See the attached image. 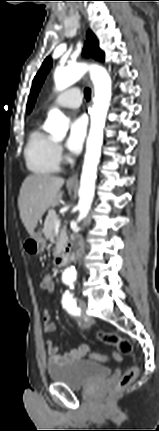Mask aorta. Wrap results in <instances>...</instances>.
Segmentation results:
<instances>
[{
	"mask_svg": "<svg viewBox=\"0 0 159 431\" xmlns=\"http://www.w3.org/2000/svg\"><path fill=\"white\" fill-rule=\"evenodd\" d=\"M89 71L94 84L95 97L91 111V127L86 144V154L80 180L79 190V217L85 218L90 210L95 192V180L97 166L101 156L103 143V128L111 99V78L106 69L99 65H87L78 63L67 67H58L54 73V81L57 90H64L77 82ZM45 129L55 138H63L66 135L68 124L63 113L58 109L49 112ZM77 272L74 266L67 267L62 279L65 283L72 284L76 281Z\"/></svg>",
	"mask_w": 159,
	"mask_h": 431,
	"instance_id": "aorta-1",
	"label": "aorta"
}]
</instances>
